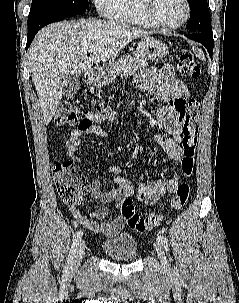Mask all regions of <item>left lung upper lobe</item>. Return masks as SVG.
Returning <instances> with one entry per match:
<instances>
[{"mask_svg": "<svg viewBox=\"0 0 239 303\" xmlns=\"http://www.w3.org/2000/svg\"><path fill=\"white\" fill-rule=\"evenodd\" d=\"M191 13L187 29L191 32L212 33L207 0H188Z\"/></svg>", "mask_w": 239, "mask_h": 303, "instance_id": "5c2ea615", "label": "left lung upper lobe"}]
</instances>
